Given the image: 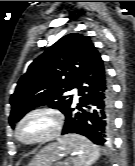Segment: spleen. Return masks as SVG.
Masks as SVG:
<instances>
[{
	"label": "spleen",
	"instance_id": "1",
	"mask_svg": "<svg viewBox=\"0 0 135 166\" xmlns=\"http://www.w3.org/2000/svg\"><path fill=\"white\" fill-rule=\"evenodd\" d=\"M59 141L66 144L75 155L72 158L73 166H91L100 156L99 148L83 136L66 135Z\"/></svg>",
	"mask_w": 135,
	"mask_h": 166
}]
</instances>
